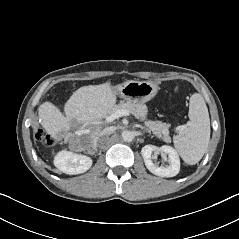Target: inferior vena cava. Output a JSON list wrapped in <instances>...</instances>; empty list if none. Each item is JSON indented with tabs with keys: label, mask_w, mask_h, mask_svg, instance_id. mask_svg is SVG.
I'll use <instances>...</instances> for the list:
<instances>
[{
	"label": "inferior vena cava",
	"mask_w": 239,
	"mask_h": 239,
	"mask_svg": "<svg viewBox=\"0 0 239 239\" xmlns=\"http://www.w3.org/2000/svg\"><path fill=\"white\" fill-rule=\"evenodd\" d=\"M110 134H111L110 129H104L103 131H101L95 139V145L101 144L103 142V139L107 138Z\"/></svg>",
	"instance_id": "602c4592"
}]
</instances>
